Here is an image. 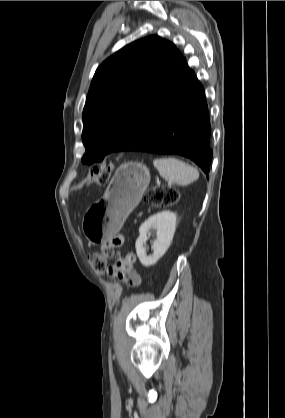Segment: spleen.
<instances>
[{
  "label": "spleen",
  "mask_w": 285,
  "mask_h": 418,
  "mask_svg": "<svg viewBox=\"0 0 285 418\" xmlns=\"http://www.w3.org/2000/svg\"><path fill=\"white\" fill-rule=\"evenodd\" d=\"M161 177L168 182L185 186L199 178V172L193 166L176 158H158L153 161Z\"/></svg>",
  "instance_id": "1"
}]
</instances>
